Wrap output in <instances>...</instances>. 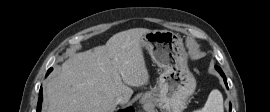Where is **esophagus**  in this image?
Here are the masks:
<instances>
[{"label":"esophagus","instance_id":"1","mask_svg":"<svg viewBox=\"0 0 270 112\" xmlns=\"http://www.w3.org/2000/svg\"><path fill=\"white\" fill-rule=\"evenodd\" d=\"M140 102H141V103H145V99L142 98V99L140 100Z\"/></svg>","mask_w":270,"mask_h":112}]
</instances>
